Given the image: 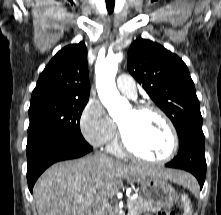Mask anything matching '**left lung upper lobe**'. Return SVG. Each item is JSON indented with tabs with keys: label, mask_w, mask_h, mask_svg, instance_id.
<instances>
[{
	"label": "left lung upper lobe",
	"mask_w": 221,
	"mask_h": 215,
	"mask_svg": "<svg viewBox=\"0 0 221 215\" xmlns=\"http://www.w3.org/2000/svg\"><path fill=\"white\" fill-rule=\"evenodd\" d=\"M128 70L171 119L179 144L191 135H203L199 100L182 59L160 44L138 39L128 51Z\"/></svg>",
	"instance_id": "5c2ea615"
}]
</instances>
